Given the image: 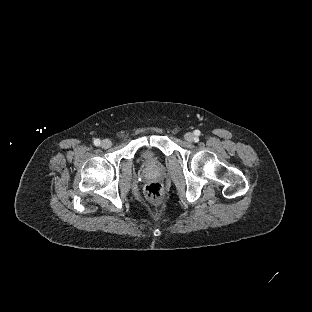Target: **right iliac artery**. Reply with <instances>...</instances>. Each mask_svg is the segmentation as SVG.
<instances>
[{
	"instance_id": "1",
	"label": "right iliac artery",
	"mask_w": 312,
	"mask_h": 312,
	"mask_svg": "<svg viewBox=\"0 0 312 312\" xmlns=\"http://www.w3.org/2000/svg\"><path fill=\"white\" fill-rule=\"evenodd\" d=\"M100 143H101V141H100L99 139H95V140H94V145H95V146H99Z\"/></svg>"
}]
</instances>
